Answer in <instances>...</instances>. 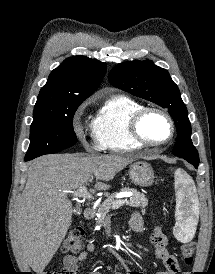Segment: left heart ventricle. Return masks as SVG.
Listing matches in <instances>:
<instances>
[{
  "mask_svg": "<svg viewBox=\"0 0 215 274\" xmlns=\"http://www.w3.org/2000/svg\"><path fill=\"white\" fill-rule=\"evenodd\" d=\"M141 132L147 140L158 143L169 137L170 126L162 115L150 113L141 123Z\"/></svg>",
  "mask_w": 215,
  "mask_h": 274,
  "instance_id": "b2bd125f",
  "label": "left heart ventricle"
}]
</instances>
